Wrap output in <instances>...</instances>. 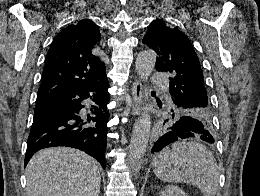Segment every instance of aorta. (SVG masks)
Wrapping results in <instances>:
<instances>
[{"label": "aorta", "instance_id": "aorta-1", "mask_svg": "<svg viewBox=\"0 0 260 196\" xmlns=\"http://www.w3.org/2000/svg\"><path fill=\"white\" fill-rule=\"evenodd\" d=\"M136 71L142 82H147L156 64V53L144 50L136 58ZM151 129L150 115L143 112L133 126L129 144L128 163L134 171H139L144 163Z\"/></svg>", "mask_w": 260, "mask_h": 196}]
</instances>
